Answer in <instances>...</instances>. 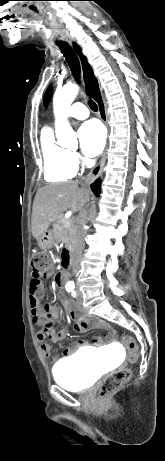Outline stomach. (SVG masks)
I'll return each instance as SVG.
<instances>
[{
  "label": "stomach",
  "instance_id": "1",
  "mask_svg": "<svg viewBox=\"0 0 165 461\" xmlns=\"http://www.w3.org/2000/svg\"><path fill=\"white\" fill-rule=\"evenodd\" d=\"M53 241V234L51 230H46L38 239V246L42 250H47L51 247Z\"/></svg>",
  "mask_w": 165,
  "mask_h": 461
}]
</instances>
